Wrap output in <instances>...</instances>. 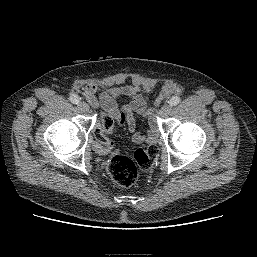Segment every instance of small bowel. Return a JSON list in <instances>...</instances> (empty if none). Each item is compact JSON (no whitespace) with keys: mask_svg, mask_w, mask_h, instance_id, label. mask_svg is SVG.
Segmentation results:
<instances>
[{"mask_svg":"<svg viewBox=\"0 0 257 257\" xmlns=\"http://www.w3.org/2000/svg\"><path fill=\"white\" fill-rule=\"evenodd\" d=\"M151 88L152 85H149L146 90ZM173 91L174 85L167 82L163 87V95H169ZM82 92L93 108L102 107L108 116L115 119L123 117L136 143H153L156 141L159 131L155 111L148 106L145 98L140 94L139 87L131 85L102 88L89 83L83 87ZM122 97H127L129 102L119 103V99ZM136 116L147 119L149 126L147 133L136 131Z\"/></svg>","mask_w":257,"mask_h":257,"instance_id":"obj_1","label":"small bowel"}]
</instances>
